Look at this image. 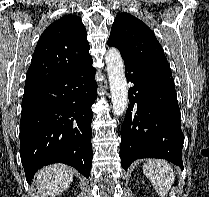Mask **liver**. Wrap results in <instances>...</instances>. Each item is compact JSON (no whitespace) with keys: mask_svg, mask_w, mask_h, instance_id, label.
<instances>
[{"mask_svg":"<svg viewBox=\"0 0 209 197\" xmlns=\"http://www.w3.org/2000/svg\"><path fill=\"white\" fill-rule=\"evenodd\" d=\"M74 172L65 164H53L39 170L35 184L41 197H55L68 189L73 181Z\"/></svg>","mask_w":209,"mask_h":197,"instance_id":"1","label":"liver"}]
</instances>
